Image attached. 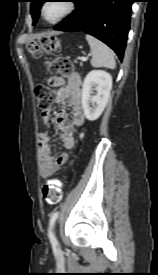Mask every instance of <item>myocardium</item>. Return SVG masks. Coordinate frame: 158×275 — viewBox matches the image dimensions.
Wrapping results in <instances>:
<instances>
[{
  "label": "myocardium",
  "mask_w": 158,
  "mask_h": 275,
  "mask_svg": "<svg viewBox=\"0 0 158 275\" xmlns=\"http://www.w3.org/2000/svg\"><path fill=\"white\" fill-rule=\"evenodd\" d=\"M49 2L50 1H46V2H44L42 4L41 9H40V13H41V17L43 18V20H45L47 23H50V24H55V23L60 22L61 20H63L64 18H66L70 14H72L74 12V10L76 9V4H75V2L73 0H66L65 1V3H66V10L64 11V13L62 15H60L59 17H57L56 19H54V20H48L45 17L44 10H45L46 5Z\"/></svg>",
  "instance_id": "1"
}]
</instances>
